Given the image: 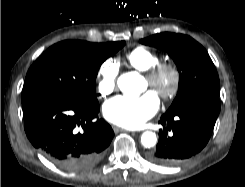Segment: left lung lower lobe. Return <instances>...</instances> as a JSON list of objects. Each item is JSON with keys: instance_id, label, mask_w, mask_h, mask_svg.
<instances>
[{"instance_id": "left-lung-lower-lobe-1", "label": "left lung lower lobe", "mask_w": 245, "mask_h": 187, "mask_svg": "<svg viewBox=\"0 0 245 187\" xmlns=\"http://www.w3.org/2000/svg\"><path fill=\"white\" fill-rule=\"evenodd\" d=\"M218 114V97L201 99L164 114L159 123L166 128L159 131V143L150 160L173 165L201 151L210 139ZM168 131L172 133L168 135Z\"/></svg>"}]
</instances>
